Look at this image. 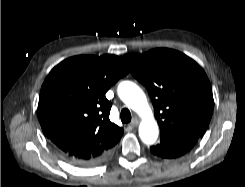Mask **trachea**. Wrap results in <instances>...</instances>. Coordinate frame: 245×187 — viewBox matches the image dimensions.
Masks as SVG:
<instances>
[{"label": "trachea", "mask_w": 245, "mask_h": 187, "mask_svg": "<svg viewBox=\"0 0 245 187\" xmlns=\"http://www.w3.org/2000/svg\"><path fill=\"white\" fill-rule=\"evenodd\" d=\"M120 119L123 123H129L131 121V113L127 108L121 110Z\"/></svg>", "instance_id": "1"}]
</instances>
